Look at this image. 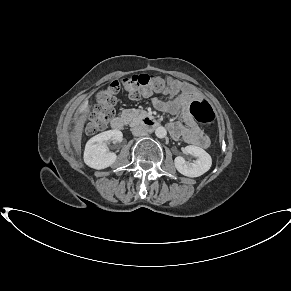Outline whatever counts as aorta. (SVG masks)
Returning a JSON list of instances; mask_svg holds the SVG:
<instances>
[{"instance_id": "1", "label": "aorta", "mask_w": 291, "mask_h": 291, "mask_svg": "<svg viewBox=\"0 0 291 291\" xmlns=\"http://www.w3.org/2000/svg\"><path fill=\"white\" fill-rule=\"evenodd\" d=\"M155 135L158 137V138H164L166 137L167 135V131L164 127L160 126V127H157L156 130H155Z\"/></svg>"}]
</instances>
